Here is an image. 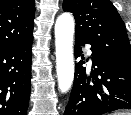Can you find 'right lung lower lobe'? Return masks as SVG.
Masks as SVG:
<instances>
[{"instance_id":"obj_1","label":"right lung lower lobe","mask_w":131,"mask_h":115,"mask_svg":"<svg viewBox=\"0 0 131 115\" xmlns=\"http://www.w3.org/2000/svg\"><path fill=\"white\" fill-rule=\"evenodd\" d=\"M33 38L0 50V115H26L31 88Z\"/></svg>"}]
</instances>
